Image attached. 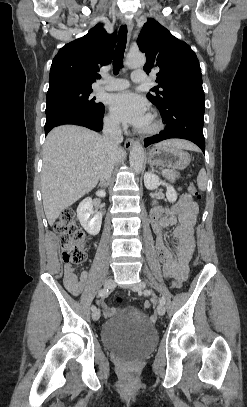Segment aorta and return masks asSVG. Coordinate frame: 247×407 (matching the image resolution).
<instances>
[{
	"instance_id": "762f6f07",
	"label": "aorta",
	"mask_w": 247,
	"mask_h": 407,
	"mask_svg": "<svg viewBox=\"0 0 247 407\" xmlns=\"http://www.w3.org/2000/svg\"><path fill=\"white\" fill-rule=\"evenodd\" d=\"M145 62V55L140 52L129 53L126 59V65L129 68L143 67ZM129 162L134 172L140 173L142 171L144 165V149L138 141L132 145Z\"/></svg>"
}]
</instances>
